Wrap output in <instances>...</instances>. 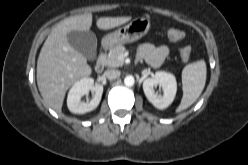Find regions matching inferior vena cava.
<instances>
[{
	"label": "inferior vena cava",
	"mask_w": 248,
	"mask_h": 165,
	"mask_svg": "<svg viewBox=\"0 0 248 165\" xmlns=\"http://www.w3.org/2000/svg\"><path fill=\"white\" fill-rule=\"evenodd\" d=\"M121 72L119 70L111 69V70H106L104 72V75L106 78L113 80L116 79L120 76Z\"/></svg>",
	"instance_id": "1"
}]
</instances>
